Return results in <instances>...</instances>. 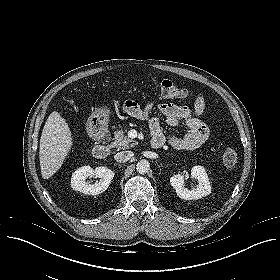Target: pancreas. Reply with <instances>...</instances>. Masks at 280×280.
<instances>
[{"mask_svg":"<svg viewBox=\"0 0 280 280\" xmlns=\"http://www.w3.org/2000/svg\"><path fill=\"white\" fill-rule=\"evenodd\" d=\"M126 130L120 129L114 132V138L112 145L118 149H129L137 145V142L130 139L125 135Z\"/></svg>","mask_w":280,"mask_h":280,"instance_id":"cf45deb5","label":"pancreas"}]
</instances>
